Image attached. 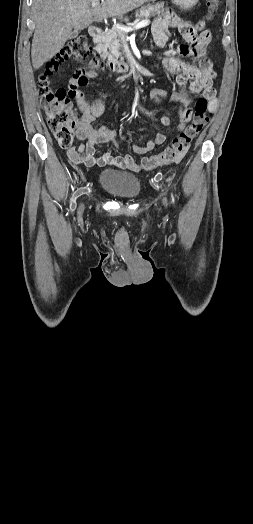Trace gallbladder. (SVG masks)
I'll list each match as a JSON object with an SVG mask.
<instances>
[{"mask_svg":"<svg viewBox=\"0 0 253 524\" xmlns=\"http://www.w3.org/2000/svg\"><path fill=\"white\" fill-rule=\"evenodd\" d=\"M77 34H78V30L74 31L70 38H71V39H72V38H75Z\"/></svg>","mask_w":253,"mask_h":524,"instance_id":"bac80fb5","label":"gallbladder"}]
</instances>
